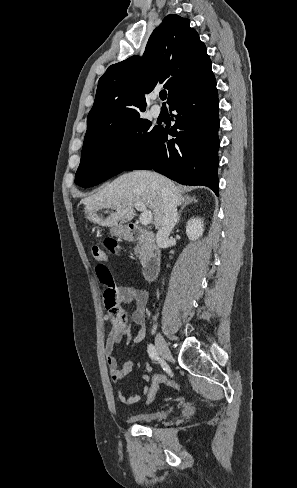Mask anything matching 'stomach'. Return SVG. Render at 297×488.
<instances>
[{
  "label": "stomach",
  "mask_w": 297,
  "mask_h": 488,
  "mask_svg": "<svg viewBox=\"0 0 297 488\" xmlns=\"http://www.w3.org/2000/svg\"><path fill=\"white\" fill-rule=\"evenodd\" d=\"M112 236L127 239L129 237V232L125 226H117L111 229Z\"/></svg>",
  "instance_id": "obj_1"
}]
</instances>
